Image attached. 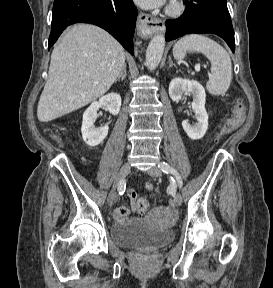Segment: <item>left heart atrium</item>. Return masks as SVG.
I'll use <instances>...</instances> for the list:
<instances>
[{
  "label": "left heart atrium",
  "mask_w": 273,
  "mask_h": 288,
  "mask_svg": "<svg viewBox=\"0 0 273 288\" xmlns=\"http://www.w3.org/2000/svg\"><path fill=\"white\" fill-rule=\"evenodd\" d=\"M165 0H135V2L143 8H154L160 6Z\"/></svg>",
  "instance_id": "39dd6f15"
}]
</instances>
